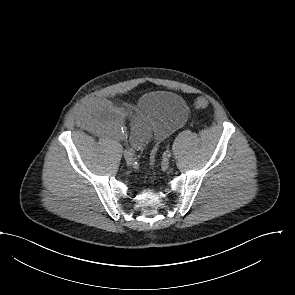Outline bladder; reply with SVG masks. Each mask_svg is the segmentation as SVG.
I'll return each instance as SVG.
<instances>
[{
  "instance_id": "bladder-1",
  "label": "bladder",
  "mask_w": 295,
  "mask_h": 295,
  "mask_svg": "<svg viewBox=\"0 0 295 295\" xmlns=\"http://www.w3.org/2000/svg\"><path fill=\"white\" fill-rule=\"evenodd\" d=\"M135 116L147 118L153 134L163 138L184 124L188 107L185 100L174 92L152 91L141 97Z\"/></svg>"
}]
</instances>
